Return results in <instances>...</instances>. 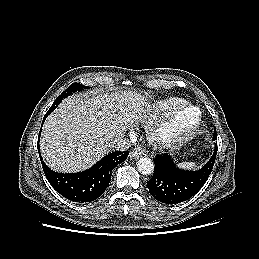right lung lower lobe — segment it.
Returning <instances> with one entry per match:
<instances>
[{
  "label": "right lung lower lobe",
  "mask_w": 259,
  "mask_h": 259,
  "mask_svg": "<svg viewBox=\"0 0 259 259\" xmlns=\"http://www.w3.org/2000/svg\"><path fill=\"white\" fill-rule=\"evenodd\" d=\"M50 113L51 112L46 113L43 122ZM128 154V151L112 152L104 156L88 170L72 174L54 172L42 161L41 156L40 160L49 183L58 193L71 201L84 203L93 201L104 193L110 183L113 168L125 161Z\"/></svg>",
  "instance_id": "1"
}]
</instances>
